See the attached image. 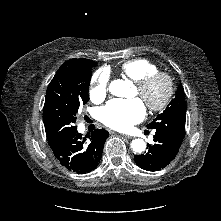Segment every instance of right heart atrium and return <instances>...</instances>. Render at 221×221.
<instances>
[{"label":"right heart atrium","instance_id":"d8ad5b80","mask_svg":"<svg viewBox=\"0 0 221 221\" xmlns=\"http://www.w3.org/2000/svg\"><path fill=\"white\" fill-rule=\"evenodd\" d=\"M109 89V74L105 70L97 71L92 77L90 97L94 101H102Z\"/></svg>","mask_w":221,"mask_h":221}]
</instances>
